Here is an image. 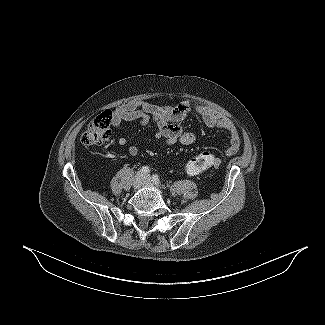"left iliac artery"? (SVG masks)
Listing matches in <instances>:
<instances>
[{"label": "left iliac artery", "instance_id": "1", "mask_svg": "<svg viewBox=\"0 0 325 325\" xmlns=\"http://www.w3.org/2000/svg\"><path fill=\"white\" fill-rule=\"evenodd\" d=\"M151 181H153V183H155L156 185H159L160 184V180H159V177H158L157 174H154L152 176V180Z\"/></svg>", "mask_w": 325, "mask_h": 325}]
</instances>
